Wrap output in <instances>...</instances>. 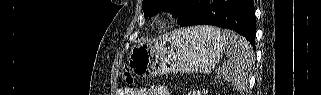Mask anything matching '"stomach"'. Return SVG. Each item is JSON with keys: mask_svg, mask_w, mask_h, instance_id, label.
Returning a JSON list of instances; mask_svg holds the SVG:
<instances>
[{"mask_svg": "<svg viewBox=\"0 0 321 95\" xmlns=\"http://www.w3.org/2000/svg\"><path fill=\"white\" fill-rule=\"evenodd\" d=\"M223 51L222 41L188 28L154 41L136 43L128 65L134 74L142 77L168 72L210 73Z\"/></svg>", "mask_w": 321, "mask_h": 95, "instance_id": "0dacf381", "label": "stomach"}]
</instances>
